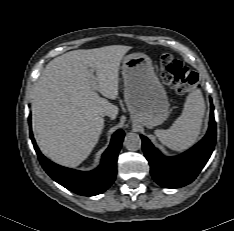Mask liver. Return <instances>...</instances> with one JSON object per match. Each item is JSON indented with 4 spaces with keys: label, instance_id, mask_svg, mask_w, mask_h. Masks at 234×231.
<instances>
[{
    "label": "liver",
    "instance_id": "liver-1",
    "mask_svg": "<svg viewBox=\"0 0 234 231\" xmlns=\"http://www.w3.org/2000/svg\"><path fill=\"white\" fill-rule=\"evenodd\" d=\"M130 46L111 45L69 51L51 60L39 77L32 96V126L42 153L67 167L81 164L97 144L106 113L118 107L100 97L90 84L96 73L98 91L115 100L119 67Z\"/></svg>",
    "mask_w": 234,
    "mask_h": 231
}]
</instances>
